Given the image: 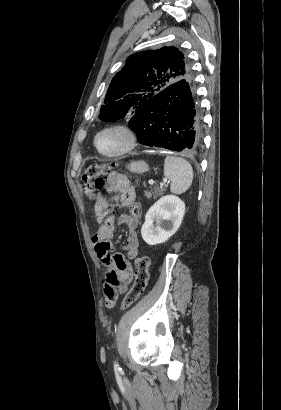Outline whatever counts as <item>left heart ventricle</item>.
Listing matches in <instances>:
<instances>
[{
  "mask_svg": "<svg viewBox=\"0 0 281 410\" xmlns=\"http://www.w3.org/2000/svg\"><path fill=\"white\" fill-rule=\"evenodd\" d=\"M125 144L122 134L117 132H107L98 139V145L105 152H114L121 149Z\"/></svg>",
  "mask_w": 281,
  "mask_h": 410,
  "instance_id": "obj_1",
  "label": "left heart ventricle"
}]
</instances>
